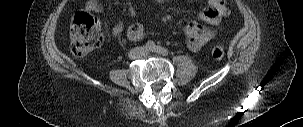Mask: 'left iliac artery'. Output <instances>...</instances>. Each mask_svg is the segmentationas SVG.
Segmentation results:
<instances>
[{
  "mask_svg": "<svg viewBox=\"0 0 303 127\" xmlns=\"http://www.w3.org/2000/svg\"><path fill=\"white\" fill-rule=\"evenodd\" d=\"M149 45L152 46L151 51H154V52H156V53H158L160 55H163V56H166V55L169 54L168 49H166V48H164L162 46L155 45V43L152 44L151 42H149Z\"/></svg>",
  "mask_w": 303,
  "mask_h": 127,
  "instance_id": "1",
  "label": "left iliac artery"
}]
</instances>
